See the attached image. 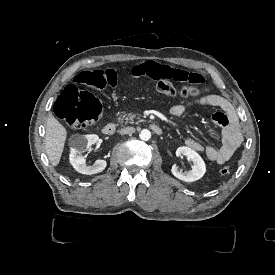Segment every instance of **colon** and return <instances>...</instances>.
I'll list each match as a JSON object with an SVG mask.
<instances>
[{
    "instance_id": "obj_1",
    "label": "colon",
    "mask_w": 275,
    "mask_h": 275,
    "mask_svg": "<svg viewBox=\"0 0 275 275\" xmlns=\"http://www.w3.org/2000/svg\"><path fill=\"white\" fill-rule=\"evenodd\" d=\"M75 85L66 86L55 99V116L72 129L81 130L94 125L101 116L102 104L99 98L90 92H108L102 72H92L91 68H78ZM80 88H89L90 92ZM156 91L162 96L208 99L211 90L203 85H191L162 80L156 85ZM228 166L220 169V174L229 176Z\"/></svg>"
}]
</instances>
